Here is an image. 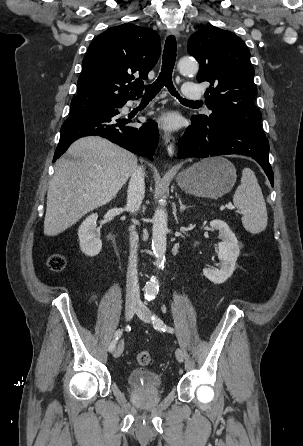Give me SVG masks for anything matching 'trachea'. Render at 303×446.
I'll list each match as a JSON object with an SVG mask.
<instances>
[{"label":"trachea","instance_id":"1","mask_svg":"<svg viewBox=\"0 0 303 446\" xmlns=\"http://www.w3.org/2000/svg\"><path fill=\"white\" fill-rule=\"evenodd\" d=\"M176 51H177L176 39L173 35H170L166 39L163 50V58H162L163 64L161 72L155 82L145 86L146 92L144 94V97H155L160 92V90L165 86L168 88L169 92L173 96L177 97L180 100V102L198 104L200 103L198 101H189L181 98L176 89L174 88L172 82V72L176 61Z\"/></svg>","mask_w":303,"mask_h":446}]
</instances>
